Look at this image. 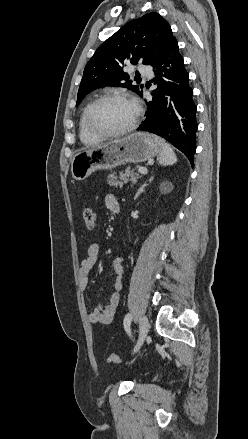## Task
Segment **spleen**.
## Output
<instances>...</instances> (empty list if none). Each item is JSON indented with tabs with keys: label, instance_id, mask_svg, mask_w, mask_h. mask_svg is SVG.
<instances>
[{
	"label": "spleen",
	"instance_id": "obj_1",
	"mask_svg": "<svg viewBox=\"0 0 248 439\" xmlns=\"http://www.w3.org/2000/svg\"><path fill=\"white\" fill-rule=\"evenodd\" d=\"M177 162V157L170 145L165 144L159 157V164L163 166L173 165Z\"/></svg>",
	"mask_w": 248,
	"mask_h": 439
}]
</instances>
